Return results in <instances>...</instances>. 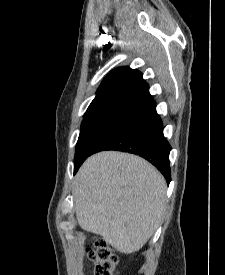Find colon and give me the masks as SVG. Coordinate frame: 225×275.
<instances>
[{
    "label": "colon",
    "mask_w": 225,
    "mask_h": 275,
    "mask_svg": "<svg viewBox=\"0 0 225 275\" xmlns=\"http://www.w3.org/2000/svg\"><path fill=\"white\" fill-rule=\"evenodd\" d=\"M89 256L94 263L95 275H113L118 257L104 240L95 241Z\"/></svg>",
    "instance_id": "5ec220e1"
}]
</instances>
